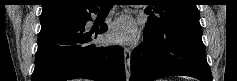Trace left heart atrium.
Returning a JSON list of instances; mask_svg holds the SVG:
<instances>
[{"instance_id": "1", "label": "left heart atrium", "mask_w": 237, "mask_h": 81, "mask_svg": "<svg viewBox=\"0 0 237 81\" xmlns=\"http://www.w3.org/2000/svg\"><path fill=\"white\" fill-rule=\"evenodd\" d=\"M136 36V27L127 16H122L110 25L107 38L112 42H130Z\"/></svg>"}]
</instances>
